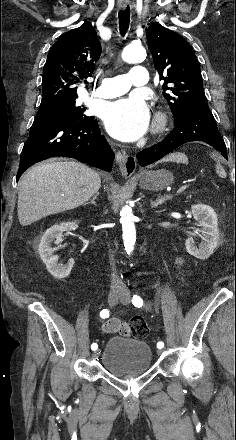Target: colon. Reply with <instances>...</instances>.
Segmentation results:
<instances>
[{"instance_id":"5ec220e1","label":"colon","mask_w":236,"mask_h":440,"mask_svg":"<svg viewBox=\"0 0 236 440\" xmlns=\"http://www.w3.org/2000/svg\"><path fill=\"white\" fill-rule=\"evenodd\" d=\"M131 329L128 330L129 334L136 338H145L149 334V328L141 316H134L131 320Z\"/></svg>"}]
</instances>
